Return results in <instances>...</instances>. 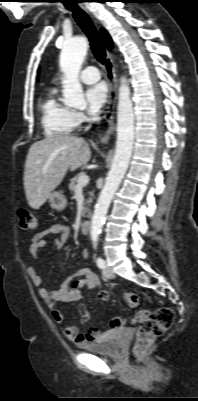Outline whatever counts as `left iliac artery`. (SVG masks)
Returning <instances> with one entry per match:
<instances>
[{
	"label": "left iliac artery",
	"mask_w": 198,
	"mask_h": 401,
	"mask_svg": "<svg viewBox=\"0 0 198 401\" xmlns=\"http://www.w3.org/2000/svg\"><path fill=\"white\" fill-rule=\"evenodd\" d=\"M93 242H94V247L96 248V246H97V240H93ZM96 263H97V266L99 267V268H101V269H103V268H105V261L102 259V258H100V257H98L97 259H96Z\"/></svg>",
	"instance_id": "44dca946"
}]
</instances>
